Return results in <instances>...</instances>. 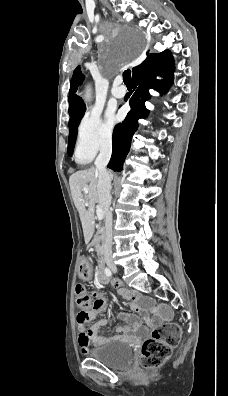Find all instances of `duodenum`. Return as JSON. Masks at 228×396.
<instances>
[{"instance_id":"duodenum-1","label":"duodenum","mask_w":228,"mask_h":396,"mask_svg":"<svg viewBox=\"0 0 228 396\" xmlns=\"http://www.w3.org/2000/svg\"><path fill=\"white\" fill-rule=\"evenodd\" d=\"M98 262H99L98 276H99V278H100L101 280H104V278H103V271H102V267H103V257H102V251H101V250L99 251V259H98Z\"/></svg>"}]
</instances>
